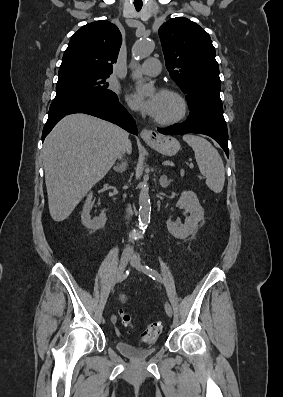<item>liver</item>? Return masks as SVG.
<instances>
[{"instance_id":"6515ba94","label":"liver","mask_w":283,"mask_h":397,"mask_svg":"<svg viewBox=\"0 0 283 397\" xmlns=\"http://www.w3.org/2000/svg\"><path fill=\"white\" fill-rule=\"evenodd\" d=\"M124 131L86 114L63 118L46 137L42 157L49 212L65 220L110 170L123 147ZM127 152H132L129 143Z\"/></svg>"}]
</instances>
